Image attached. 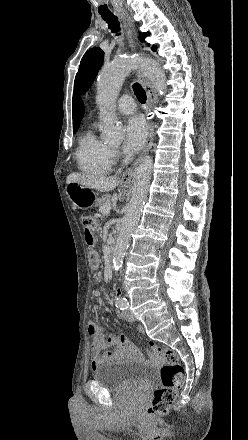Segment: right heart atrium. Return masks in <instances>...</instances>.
I'll return each mask as SVG.
<instances>
[{
    "mask_svg": "<svg viewBox=\"0 0 248 440\" xmlns=\"http://www.w3.org/2000/svg\"><path fill=\"white\" fill-rule=\"evenodd\" d=\"M112 162H115L119 158V151L116 149H111L110 152Z\"/></svg>",
    "mask_w": 248,
    "mask_h": 440,
    "instance_id": "obj_1",
    "label": "right heart atrium"
}]
</instances>
